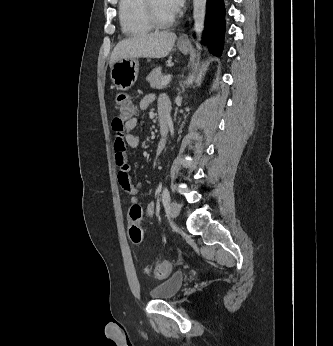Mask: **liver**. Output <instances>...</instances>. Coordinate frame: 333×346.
I'll return each mask as SVG.
<instances>
[{"instance_id": "1", "label": "liver", "mask_w": 333, "mask_h": 346, "mask_svg": "<svg viewBox=\"0 0 333 346\" xmlns=\"http://www.w3.org/2000/svg\"><path fill=\"white\" fill-rule=\"evenodd\" d=\"M176 38L175 33L155 32L124 39L112 51L110 65L120 59L164 58L172 50Z\"/></svg>"}]
</instances>
